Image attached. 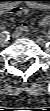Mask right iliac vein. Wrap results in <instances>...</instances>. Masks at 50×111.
Returning a JSON list of instances; mask_svg holds the SVG:
<instances>
[{
    "label": "right iliac vein",
    "instance_id": "right-iliac-vein-1",
    "mask_svg": "<svg viewBox=\"0 0 50 111\" xmlns=\"http://www.w3.org/2000/svg\"><path fill=\"white\" fill-rule=\"evenodd\" d=\"M0 44H1V46H5L7 44L6 37L2 34H1V37H0Z\"/></svg>",
    "mask_w": 50,
    "mask_h": 111
}]
</instances>
